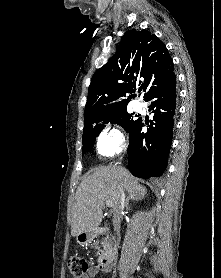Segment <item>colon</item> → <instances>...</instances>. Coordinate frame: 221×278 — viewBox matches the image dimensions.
I'll list each match as a JSON object with an SVG mask.
<instances>
[{
	"mask_svg": "<svg viewBox=\"0 0 221 278\" xmlns=\"http://www.w3.org/2000/svg\"><path fill=\"white\" fill-rule=\"evenodd\" d=\"M71 275L74 278H86L90 270V263L87 259L73 257L68 263Z\"/></svg>",
	"mask_w": 221,
	"mask_h": 278,
	"instance_id": "colon-1",
	"label": "colon"
}]
</instances>
